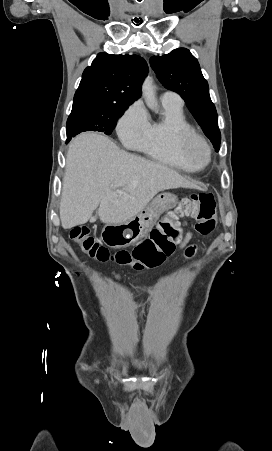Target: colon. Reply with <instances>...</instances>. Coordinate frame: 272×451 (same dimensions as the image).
I'll use <instances>...</instances> for the list:
<instances>
[{
  "instance_id": "1",
  "label": "colon",
  "mask_w": 272,
  "mask_h": 451,
  "mask_svg": "<svg viewBox=\"0 0 272 451\" xmlns=\"http://www.w3.org/2000/svg\"><path fill=\"white\" fill-rule=\"evenodd\" d=\"M178 209L170 212L167 220L159 221V228H154L149 239L139 243L132 251H119L113 254V261L136 270L145 267L161 265L170 256L175 248L176 241L181 238V233L172 226L171 221L179 216L193 218L195 230L198 234H211L217 224L216 199L210 193L197 192L183 197L177 203ZM70 240L79 244L82 250L89 256L95 257L97 262H107L111 257V250L104 249L90 235L86 226H73L68 229Z\"/></svg>"
}]
</instances>
